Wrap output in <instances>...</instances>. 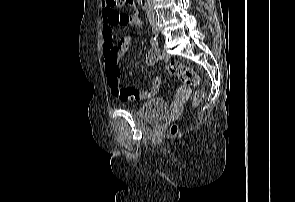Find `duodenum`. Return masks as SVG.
Masks as SVG:
<instances>
[{
    "label": "duodenum",
    "instance_id": "obj_1",
    "mask_svg": "<svg viewBox=\"0 0 295 202\" xmlns=\"http://www.w3.org/2000/svg\"><path fill=\"white\" fill-rule=\"evenodd\" d=\"M138 2L143 9L147 7L148 0H138Z\"/></svg>",
    "mask_w": 295,
    "mask_h": 202
}]
</instances>
